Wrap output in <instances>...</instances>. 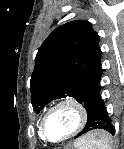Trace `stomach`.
Instances as JSON below:
<instances>
[{
    "instance_id": "obj_1",
    "label": "stomach",
    "mask_w": 124,
    "mask_h": 149,
    "mask_svg": "<svg viewBox=\"0 0 124 149\" xmlns=\"http://www.w3.org/2000/svg\"><path fill=\"white\" fill-rule=\"evenodd\" d=\"M102 132L101 131H95V132H92V133H89V134H87L83 139H82V141L81 142H83V141H86V140H88L89 138H91V137H97L98 135H100ZM81 144L82 143H75V147H76V149H81ZM73 149V148H72Z\"/></svg>"
}]
</instances>
